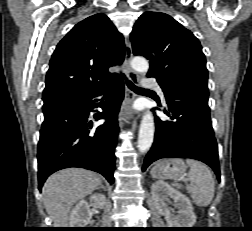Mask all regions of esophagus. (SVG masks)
Masks as SVG:
<instances>
[{
  "instance_id": "1",
  "label": "esophagus",
  "mask_w": 252,
  "mask_h": 231,
  "mask_svg": "<svg viewBox=\"0 0 252 231\" xmlns=\"http://www.w3.org/2000/svg\"><path fill=\"white\" fill-rule=\"evenodd\" d=\"M132 58V48L130 43L126 40L125 41V59L123 62V69L125 74L127 75V77L134 83L138 82V77L136 75V73L131 69L130 66V60ZM135 93L130 90L128 87H126V91H125V99L123 102V105L121 107L120 110V114H119V125L122 128L123 127V121L126 118H133V115L135 113V111L133 110V102L135 100Z\"/></svg>"
}]
</instances>
